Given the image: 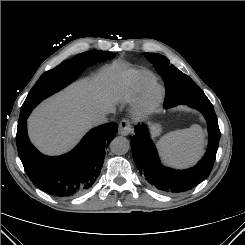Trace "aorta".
Here are the masks:
<instances>
[{
	"mask_svg": "<svg viewBox=\"0 0 245 245\" xmlns=\"http://www.w3.org/2000/svg\"><path fill=\"white\" fill-rule=\"evenodd\" d=\"M110 149L116 155H124L130 149V142L125 137H116L110 143Z\"/></svg>",
	"mask_w": 245,
	"mask_h": 245,
	"instance_id": "1",
	"label": "aorta"
}]
</instances>
